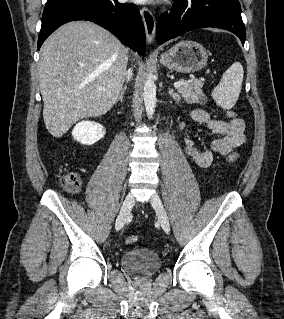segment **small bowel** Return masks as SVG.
I'll use <instances>...</instances> for the list:
<instances>
[{
	"label": "small bowel",
	"mask_w": 284,
	"mask_h": 319,
	"mask_svg": "<svg viewBox=\"0 0 284 319\" xmlns=\"http://www.w3.org/2000/svg\"><path fill=\"white\" fill-rule=\"evenodd\" d=\"M189 116L215 136L210 149H203L192 138L189 126L185 122L179 123V130L184 132V152L191 164L197 168H208L215 154L228 155L245 142V121L242 118L213 119L203 109H194Z\"/></svg>",
	"instance_id": "obj_1"
}]
</instances>
